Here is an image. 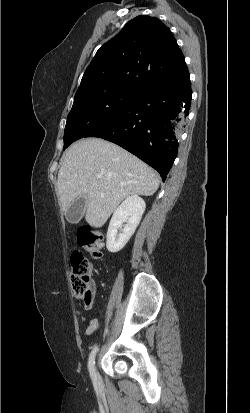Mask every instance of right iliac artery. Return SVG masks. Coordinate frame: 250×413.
<instances>
[{
	"label": "right iliac artery",
	"instance_id": "1",
	"mask_svg": "<svg viewBox=\"0 0 250 413\" xmlns=\"http://www.w3.org/2000/svg\"><path fill=\"white\" fill-rule=\"evenodd\" d=\"M97 351H98V346L95 345L93 350L91 351V353L89 355V361H88V369H89L90 376H91L94 383H96V381H97V375H96L95 367H94L95 356H96Z\"/></svg>",
	"mask_w": 250,
	"mask_h": 413
}]
</instances>
